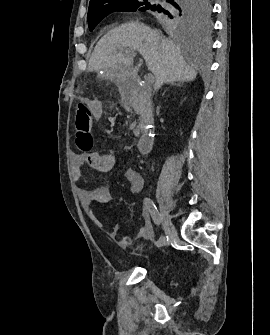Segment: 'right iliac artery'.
I'll use <instances>...</instances> for the list:
<instances>
[{
  "label": "right iliac artery",
  "instance_id": "1",
  "mask_svg": "<svg viewBox=\"0 0 270 335\" xmlns=\"http://www.w3.org/2000/svg\"><path fill=\"white\" fill-rule=\"evenodd\" d=\"M143 202H144V205H145L146 209L149 211L154 223L157 226H159L160 223H161L160 222L161 215H160L157 207L155 206L154 202L150 198H145ZM164 244H165V236L161 235L156 242V246L161 247Z\"/></svg>",
  "mask_w": 270,
  "mask_h": 335
}]
</instances>
